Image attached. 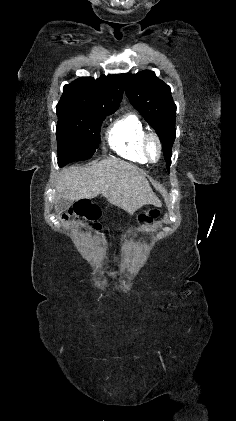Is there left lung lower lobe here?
<instances>
[{
  "instance_id": "0a47b994",
  "label": "left lung lower lobe",
  "mask_w": 236,
  "mask_h": 421,
  "mask_svg": "<svg viewBox=\"0 0 236 421\" xmlns=\"http://www.w3.org/2000/svg\"><path fill=\"white\" fill-rule=\"evenodd\" d=\"M169 166H170V163H167V164H166V167H167V168H169Z\"/></svg>"
}]
</instances>
